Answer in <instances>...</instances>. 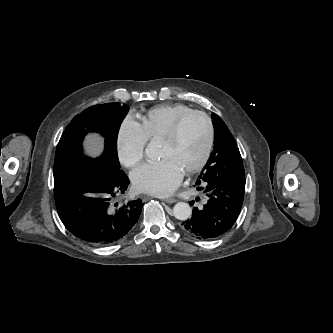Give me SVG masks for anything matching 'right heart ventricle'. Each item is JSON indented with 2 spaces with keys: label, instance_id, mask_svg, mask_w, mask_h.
Returning <instances> with one entry per match:
<instances>
[{
  "label": "right heart ventricle",
  "instance_id": "right-heart-ventricle-1",
  "mask_svg": "<svg viewBox=\"0 0 333 333\" xmlns=\"http://www.w3.org/2000/svg\"><path fill=\"white\" fill-rule=\"evenodd\" d=\"M190 111L192 109L183 104L157 106L141 116V125L149 140H159L177 118Z\"/></svg>",
  "mask_w": 333,
  "mask_h": 333
}]
</instances>
